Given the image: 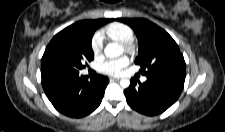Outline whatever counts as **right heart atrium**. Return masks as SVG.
<instances>
[{"instance_id": "right-heart-atrium-1", "label": "right heart atrium", "mask_w": 225, "mask_h": 132, "mask_svg": "<svg viewBox=\"0 0 225 132\" xmlns=\"http://www.w3.org/2000/svg\"><path fill=\"white\" fill-rule=\"evenodd\" d=\"M103 48V41L100 34L96 33L91 40V50L95 56L101 54Z\"/></svg>"}]
</instances>
